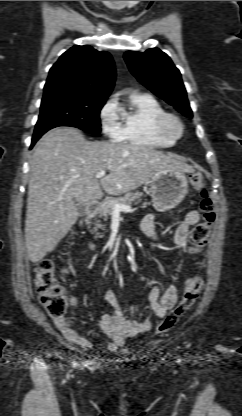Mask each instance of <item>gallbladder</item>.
Returning a JSON list of instances; mask_svg holds the SVG:
<instances>
[{
	"label": "gallbladder",
	"mask_w": 242,
	"mask_h": 416,
	"mask_svg": "<svg viewBox=\"0 0 242 416\" xmlns=\"http://www.w3.org/2000/svg\"><path fill=\"white\" fill-rule=\"evenodd\" d=\"M78 213L80 216H83L86 213V206L84 204H80L77 201L75 202Z\"/></svg>",
	"instance_id": "gallbladder-1"
}]
</instances>
